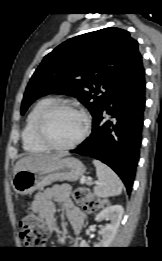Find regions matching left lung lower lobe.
<instances>
[{
    "instance_id": "obj_1",
    "label": "left lung lower lobe",
    "mask_w": 162,
    "mask_h": 261,
    "mask_svg": "<svg viewBox=\"0 0 162 261\" xmlns=\"http://www.w3.org/2000/svg\"><path fill=\"white\" fill-rule=\"evenodd\" d=\"M145 70L142 63L111 90L93 115L91 135L72 153L98 159L122 179L128 194L134 182L145 110ZM110 116L105 119L104 115Z\"/></svg>"
}]
</instances>
